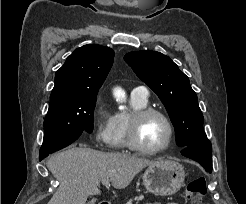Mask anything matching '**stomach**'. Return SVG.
<instances>
[{"label": "stomach", "mask_w": 246, "mask_h": 204, "mask_svg": "<svg viewBox=\"0 0 246 204\" xmlns=\"http://www.w3.org/2000/svg\"><path fill=\"white\" fill-rule=\"evenodd\" d=\"M183 165L173 160H159L149 165L143 174V184L149 193L159 196L175 194L184 183Z\"/></svg>", "instance_id": "0dacf381"}]
</instances>
